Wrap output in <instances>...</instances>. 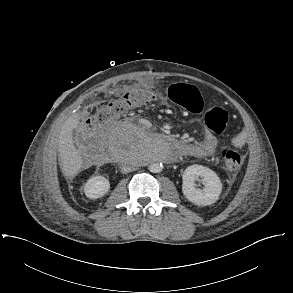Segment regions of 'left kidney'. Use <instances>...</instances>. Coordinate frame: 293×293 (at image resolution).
Wrapping results in <instances>:
<instances>
[{
	"mask_svg": "<svg viewBox=\"0 0 293 293\" xmlns=\"http://www.w3.org/2000/svg\"><path fill=\"white\" fill-rule=\"evenodd\" d=\"M201 177L204 188L196 187L195 181ZM182 191L184 196L193 204L207 206L215 203L221 192L222 183L218 175L208 167L191 165L187 167L182 176Z\"/></svg>",
	"mask_w": 293,
	"mask_h": 293,
	"instance_id": "left-kidney-1",
	"label": "left kidney"
}]
</instances>
